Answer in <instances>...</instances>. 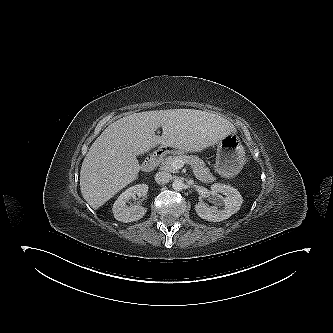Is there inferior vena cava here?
Here are the masks:
<instances>
[{
    "label": "inferior vena cava",
    "instance_id": "obj_1",
    "mask_svg": "<svg viewBox=\"0 0 333 333\" xmlns=\"http://www.w3.org/2000/svg\"><path fill=\"white\" fill-rule=\"evenodd\" d=\"M172 179V175L166 171H160L155 175V181L158 184H166Z\"/></svg>",
    "mask_w": 333,
    "mask_h": 333
}]
</instances>
